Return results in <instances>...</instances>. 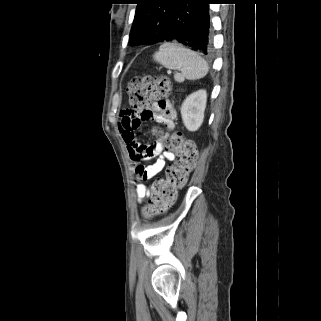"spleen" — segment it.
Here are the masks:
<instances>
[{
	"label": "spleen",
	"instance_id": "spleen-1",
	"mask_svg": "<svg viewBox=\"0 0 321 321\" xmlns=\"http://www.w3.org/2000/svg\"><path fill=\"white\" fill-rule=\"evenodd\" d=\"M153 59L163 67L181 71L180 76H175L177 80L200 79L209 70L207 62L198 53L178 43H163L154 53Z\"/></svg>",
	"mask_w": 321,
	"mask_h": 321
}]
</instances>
